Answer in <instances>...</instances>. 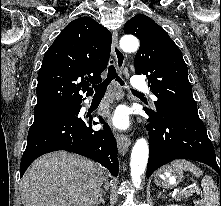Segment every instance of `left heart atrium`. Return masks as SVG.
<instances>
[{
    "instance_id": "39dd6f15",
    "label": "left heart atrium",
    "mask_w": 221,
    "mask_h": 206,
    "mask_svg": "<svg viewBox=\"0 0 221 206\" xmlns=\"http://www.w3.org/2000/svg\"><path fill=\"white\" fill-rule=\"evenodd\" d=\"M111 122L118 128H125L128 125L126 113L123 110L116 111L111 118Z\"/></svg>"
}]
</instances>
